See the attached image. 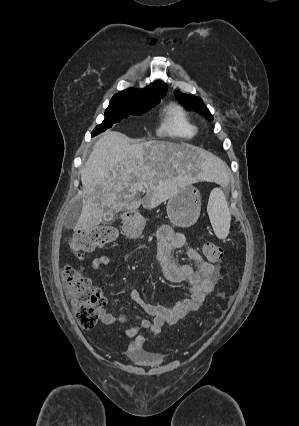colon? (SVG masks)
<instances>
[{
  "label": "colon",
  "instance_id": "colon-1",
  "mask_svg": "<svg viewBox=\"0 0 299 426\" xmlns=\"http://www.w3.org/2000/svg\"><path fill=\"white\" fill-rule=\"evenodd\" d=\"M117 238V231L111 226H98L77 231L70 242L73 255L83 254L103 247ZM205 257L211 262H220L224 250L215 243L203 246ZM66 295L71 301L78 324L85 329L93 328L99 317V310L105 305L101 291L92 286L90 280L79 270L67 266L63 271Z\"/></svg>",
  "mask_w": 299,
  "mask_h": 426
}]
</instances>
